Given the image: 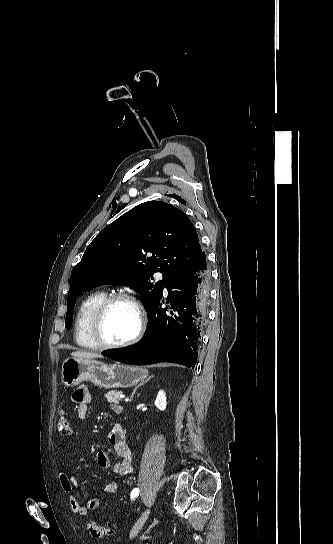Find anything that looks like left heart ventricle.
Here are the masks:
<instances>
[{
	"label": "left heart ventricle",
	"instance_id": "b2bd125f",
	"mask_svg": "<svg viewBox=\"0 0 333 544\" xmlns=\"http://www.w3.org/2000/svg\"><path fill=\"white\" fill-rule=\"evenodd\" d=\"M138 324L137 313L127 302H116L107 310L102 322V337L106 342L119 343L130 338Z\"/></svg>",
	"mask_w": 333,
	"mask_h": 544
}]
</instances>
